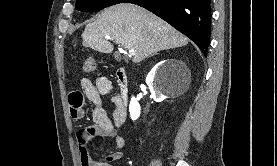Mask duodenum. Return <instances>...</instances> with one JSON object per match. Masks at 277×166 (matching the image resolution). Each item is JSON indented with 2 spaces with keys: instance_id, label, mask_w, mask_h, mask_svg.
Masks as SVG:
<instances>
[{
  "instance_id": "duodenum-1",
  "label": "duodenum",
  "mask_w": 277,
  "mask_h": 166,
  "mask_svg": "<svg viewBox=\"0 0 277 166\" xmlns=\"http://www.w3.org/2000/svg\"><path fill=\"white\" fill-rule=\"evenodd\" d=\"M116 76L120 87L118 94L119 113L123 118H126L129 100V80L124 69H119Z\"/></svg>"
}]
</instances>
